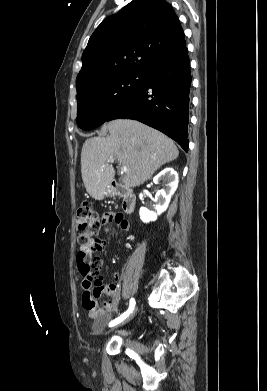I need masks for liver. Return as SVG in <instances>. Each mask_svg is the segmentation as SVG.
<instances>
[{
    "mask_svg": "<svg viewBox=\"0 0 267 391\" xmlns=\"http://www.w3.org/2000/svg\"><path fill=\"white\" fill-rule=\"evenodd\" d=\"M108 137L85 141L81 152V174L86 191L103 199L105 189L115 177L109 158H117L128 170L123 177L127 187H137L149 180L164 164L175 160L179 151L163 133L138 121L117 119L106 124Z\"/></svg>",
    "mask_w": 267,
    "mask_h": 391,
    "instance_id": "obj_1",
    "label": "liver"
}]
</instances>
